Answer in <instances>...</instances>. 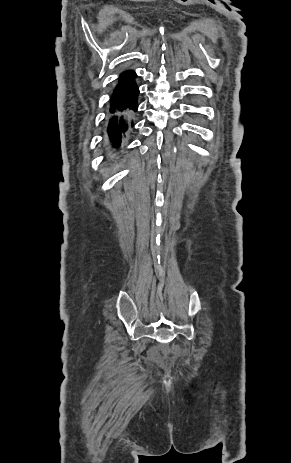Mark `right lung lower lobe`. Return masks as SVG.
I'll return each instance as SVG.
<instances>
[{
	"label": "right lung lower lobe",
	"instance_id": "1",
	"mask_svg": "<svg viewBox=\"0 0 291 463\" xmlns=\"http://www.w3.org/2000/svg\"><path fill=\"white\" fill-rule=\"evenodd\" d=\"M134 72L122 74L110 100L109 117L107 119L105 146L111 157L120 153L122 146L126 145L133 131L134 117L138 110L139 89L136 85ZM114 89V90H115Z\"/></svg>",
	"mask_w": 291,
	"mask_h": 463
}]
</instances>
